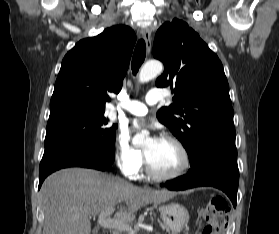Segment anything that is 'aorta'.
<instances>
[{
    "label": "aorta",
    "instance_id": "1",
    "mask_svg": "<svg viewBox=\"0 0 279 234\" xmlns=\"http://www.w3.org/2000/svg\"><path fill=\"white\" fill-rule=\"evenodd\" d=\"M163 71V64L160 61H148L142 67L140 74H139V81L141 83H145L156 77ZM145 132L136 134L133 141L136 142H143L145 140Z\"/></svg>",
    "mask_w": 279,
    "mask_h": 234
}]
</instances>
